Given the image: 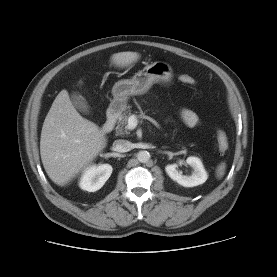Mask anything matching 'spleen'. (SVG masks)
<instances>
[{"instance_id": "spleen-1", "label": "spleen", "mask_w": 277, "mask_h": 277, "mask_svg": "<svg viewBox=\"0 0 277 277\" xmlns=\"http://www.w3.org/2000/svg\"><path fill=\"white\" fill-rule=\"evenodd\" d=\"M225 169H226V164L222 162L221 164L218 165L216 169V174L218 178H222L223 175L225 174Z\"/></svg>"}]
</instances>
